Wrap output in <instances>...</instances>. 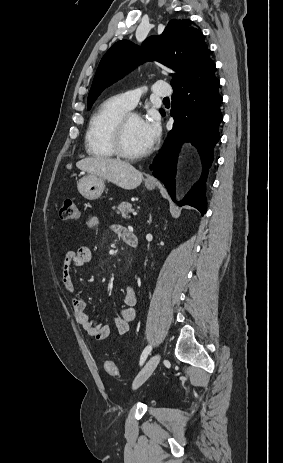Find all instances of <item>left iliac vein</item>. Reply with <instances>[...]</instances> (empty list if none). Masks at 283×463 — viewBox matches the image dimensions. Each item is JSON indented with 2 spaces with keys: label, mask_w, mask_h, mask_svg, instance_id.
<instances>
[{
  "label": "left iliac vein",
  "mask_w": 283,
  "mask_h": 463,
  "mask_svg": "<svg viewBox=\"0 0 283 463\" xmlns=\"http://www.w3.org/2000/svg\"><path fill=\"white\" fill-rule=\"evenodd\" d=\"M161 359V356L159 353L153 355L147 363L144 365V367L141 369V371L138 373L136 378L133 381L132 388L137 389L140 387L153 373L157 365L159 364Z\"/></svg>",
  "instance_id": "left-iliac-vein-1"
}]
</instances>
